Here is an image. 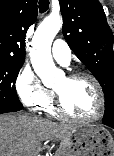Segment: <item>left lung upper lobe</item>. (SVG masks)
Returning <instances> with one entry per match:
<instances>
[{
	"mask_svg": "<svg viewBox=\"0 0 114 156\" xmlns=\"http://www.w3.org/2000/svg\"><path fill=\"white\" fill-rule=\"evenodd\" d=\"M63 35L99 81L105 96L104 124H114V36L98 0H59Z\"/></svg>",
	"mask_w": 114,
	"mask_h": 156,
	"instance_id": "obj_1",
	"label": "left lung upper lobe"
}]
</instances>
